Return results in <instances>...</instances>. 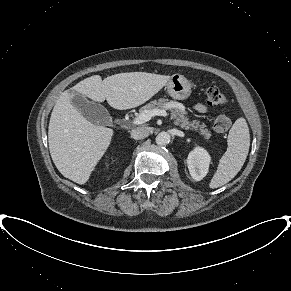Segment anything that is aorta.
<instances>
[{
    "instance_id": "762f6f07",
    "label": "aorta",
    "mask_w": 291,
    "mask_h": 291,
    "mask_svg": "<svg viewBox=\"0 0 291 291\" xmlns=\"http://www.w3.org/2000/svg\"><path fill=\"white\" fill-rule=\"evenodd\" d=\"M170 134L167 132H161L159 133L156 138L155 141L158 145L163 146V145H167L170 142Z\"/></svg>"
}]
</instances>
